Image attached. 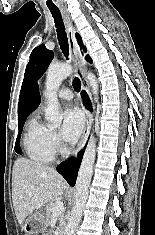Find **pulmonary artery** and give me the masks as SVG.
<instances>
[{
	"label": "pulmonary artery",
	"mask_w": 155,
	"mask_h": 235,
	"mask_svg": "<svg viewBox=\"0 0 155 235\" xmlns=\"http://www.w3.org/2000/svg\"><path fill=\"white\" fill-rule=\"evenodd\" d=\"M58 98L61 100H71L73 98V93L68 88H62L57 94Z\"/></svg>",
	"instance_id": "obj_1"
}]
</instances>
